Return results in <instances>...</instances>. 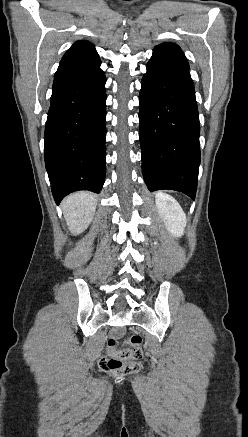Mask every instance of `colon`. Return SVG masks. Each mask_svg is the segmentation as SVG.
Returning <instances> with one entry per match:
<instances>
[{
    "label": "colon",
    "instance_id": "5ec220e1",
    "mask_svg": "<svg viewBox=\"0 0 248 437\" xmlns=\"http://www.w3.org/2000/svg\"><path fill=\"white\" fill-rule=\"evenodd\" d=\"M142 342V336L135 334L126 341V347L119 349V341L109 339L106 354L99 362L100 368L113 376L136 372L144 357Z\"/></svg>",
    "mask_w": 248,
    "mask_h": 437
}]
</instances>
